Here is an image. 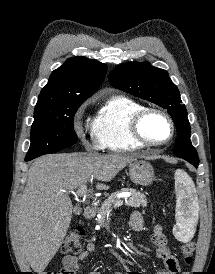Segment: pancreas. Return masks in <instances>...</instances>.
<instances>
[{"label": "pancreas", "instance_id": "obj_1", "mask_svg": "<svg viewBox=\"0 0 215 274\" xmlns=\"http://www.w3.org/2000/svg\"><path fill=\"white\" fill-rule=\"evenodd\" d=\"M120 192H129L131 194L130 198L127 201V205L137 208V207H146L147 206V199L144 194L140 193L139 191H136L135 189L131 188H122L120 191L112 193L108 199H106L101 207L98 210V214L100 215L99 218H97V223L100 225H103L107 219L108 213L110 212V209L112 206L119 201L117 198V195Z\"/></svg>", "mask_w": 215, "mask_h": 274}]
</instances>
